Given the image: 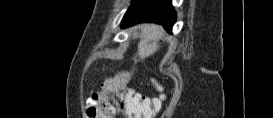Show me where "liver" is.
<instances>
[{"mask_svg": "<svg viewBox=\"0 0 273 118\" xmlns=\"http://www.w3.org/2000/svg\"><path fill=\"white\" fill-rule=\"evenodd\" d=\"M141 30V39L138 43V51L135 55L134 63L136 64L139 60H143L150 55H153L159 48V40L164 38V30L161 26L154 24H144L138 26ZM137 32H133V38H137ZM138 57V58H137ZM135 68L130 72H119L115 77L110 80L105 86V90L108 92H119L124 90L131 80L134 74Z\"/></svg>", "mask_w": 273, "mask_h": 118, "instance_id": "obj_1", "label": "liver"}]
</instances>
